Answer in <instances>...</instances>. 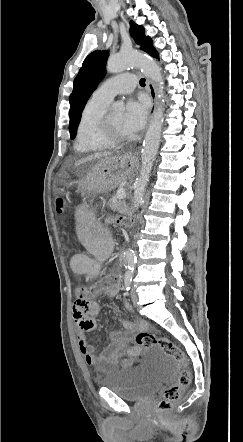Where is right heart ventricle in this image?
<instances>
[{
    "label": "right heart ventricle",
    "instance_id": "right-heart-ventricle-1",
    "mask_svg": "<svg viewBox=\"0 0 243 442\" xmlns=\"http://www.w3.org/2000/svg\"><path fill=\"white\" fill-rule=\"evenodd\" d=\"M109 103L95 99L88 100L79 120L74 148L78 153H88L110 148L99 137V124Z\"/></svg>",
    "mask_w": 243,
    "mask_h": 442
}]
</instances>
